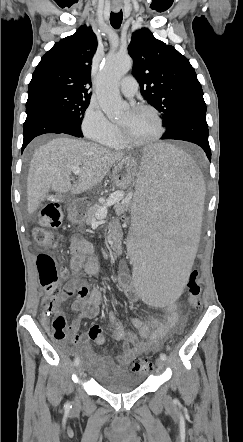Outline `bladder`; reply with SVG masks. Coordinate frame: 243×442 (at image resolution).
I'll use <instances>...</instances> for the list:
<instances>
[{
  "instance_id": "1",
  "label": "bladder",
  "mask_w": 243,
  "mask_h": 442,
  "mask_svg": "<svg viewBox=\"0 0 243 442\" xmlns=\"http://www.w3.org/2000/svg\"><path fill=\"white\" fill-rule=\"evenodd\" d=\"M94 380L104 390L115 394L130 392L142 383L132 372L115 369L95 372Z\"/></svg>"
}]
</instances>
